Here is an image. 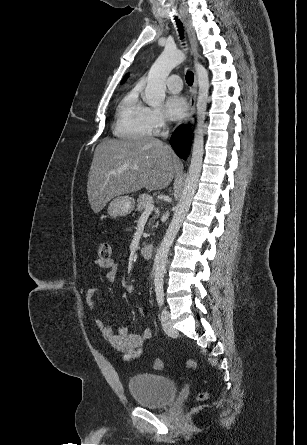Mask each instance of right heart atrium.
<instances>
[{"label":"right heart atrium","instance_id":"right-heart-atrium-1","mask_svg":"<svg viewBox=\"0 0 307 445\" xmlns=\"http://www.w3.org/2000/svg\"><path fill=\"white\" fill-rule=\"evenodd\" d=\"M145 122L148 131L154 135L160 134L168 126V120L166 115L160 109L157 108L148 107L145 115Z\"/></svg>","mask_w":307,"mask_h":445}]
</instances>
